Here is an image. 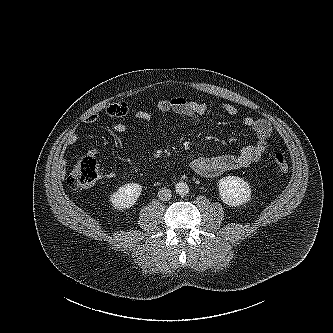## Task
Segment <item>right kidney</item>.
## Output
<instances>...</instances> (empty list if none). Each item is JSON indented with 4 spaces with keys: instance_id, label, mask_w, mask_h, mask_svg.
<instances>
[{
    "instance_id": "ca27d5eb",
    "label": "right kidney",
    "mask_w": 333,
    "mask_h": 333,
    "mask_svg": "<svg viewBox=\"0 0 333 333\" xmlns=\"http://www.w3.org/2000/svg\"><path fill=\"white\" fill-rule=\"evenodd\" d=\"M142 192V186L137 183L122 185L110 195V202L114 209L125 210L132 207Z\"/></svg>"
}]
</instances>
